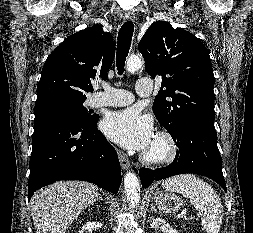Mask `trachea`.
<instances>
[{
  "instance_id": "trachea-1",
  "label": "trachea",
  "mask_w": 253,
  "mask_h": 233,
  "mask_svg": "<svg viewBox=\"0 0 253 233\" xmlns=\"http://www.w3.org/2000/svg\"><path fill=\"white\" fill-rule=\"evenodd\" d=\"M134 25L131 21L125 22L118 33V45L116 53V66L118 74L122 75L124 72L125 60L129 53Z\"/></svg>"
}]
</instances>
